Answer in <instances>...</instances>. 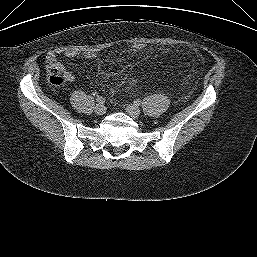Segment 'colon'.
<instances>
[{"instance_id":"obj_1","label":"colon","mask_w":257,"mask_h":257,"mask_svg":"<svg viewBox=\"0 0 257 257\" xmlns=\"http://www.w3.org/2000/svg\"><path fill=\"white\" fill-rule=\"evenodd\" d=\"M147 45L142 42H135L131 44V48L136 51L140 52L145 50ZM49 81L56 86L63 85L67 80V73L65 69L56 61L48 64L47 67Z\"/></svg>"}]
</instances>
